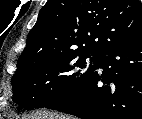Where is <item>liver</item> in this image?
<instances>
[{
	"label": "liver",
	"instance_id": "obj_1",
	"mask_svg": "<svg viewBox=\"0 0 142 119\" xmlns=\"http://www.w3.org/2000/svg\"><path fill=\"white\" fill-rule=\"evenodd\" d=\"M22 119H74V118L59 114H47V113L36 112L27 117H23Z\"/></svg>",
	"mask_w": 142,
	"mask_h": 119
}]
</instances>
